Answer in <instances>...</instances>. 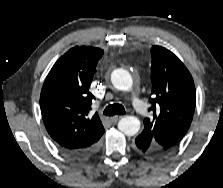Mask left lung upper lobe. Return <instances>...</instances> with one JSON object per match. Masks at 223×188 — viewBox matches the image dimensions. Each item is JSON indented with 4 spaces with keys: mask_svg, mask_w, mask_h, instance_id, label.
I'll use <instances>...</instances> for the list:
<instances>
[{
    "mask_svg": "<svg viewBox=\"0 0 223 188\" xmlns=\"http://www.w3.org/2000/svg\"><path fill=\"white\" fill-rule=\"evenodd\" d=\"M153 119L144 120L140 134L165 155L173 151L188 131L196 105L195 86L185 65L169 50L151 48Z\"/></svg>",
    "mask_w": 223,
    "mask_h": 188,
    "instance_id": "left-lung-upper-lobe-1",
    "label": "left lung upper lobe"
}]
</instances>
